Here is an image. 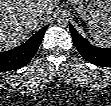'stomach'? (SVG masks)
Listing matches in <instances>:
<instances>
[{
  "mask_svg": "<svg viewBox=\"0 0 111 106\" xmlns=\"http://www.w3.org/2000/svg\"><path fill=\"white\" fill-rule=\"evenodd\" d=\"M71 4L84 20H103L111 12L109 0H73Z\"/></svg>",
  "mask_w": 111,
  "mask_h": 106,
  "instance_id": "obj_1",
  "label": "stomach"
}]
</instances>
